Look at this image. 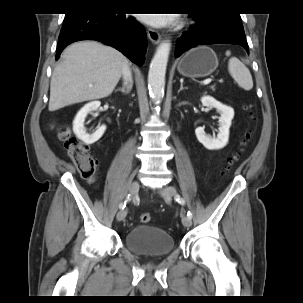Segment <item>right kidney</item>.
Segmentation results:
<instances>
[{
	"label": "right kidney",
	"mask_w": 303,
	"mask_h": 303,
	"mask_svg": "<svg viewBox=\"0 0 303 303\" xmlns=\"http://www.w3.org/2000/svg\"><path fill=\"white\" fill-rule=\"evenodd\" d=\"M100 105V101H92L86 104L80 109L73 121V131L75 135L87 145L97 142L103 136L106 130V126L102 125L99 126L94 133L88 134L84 127V122L87 115L93 111H96Z\"/></svg>",
	"instance_id": "obj_1"
}]
</instances>
